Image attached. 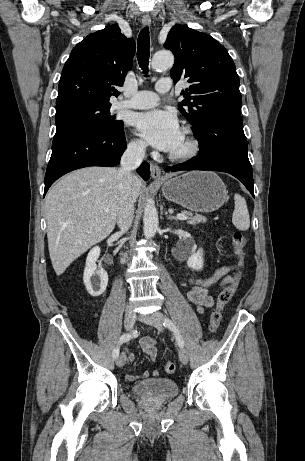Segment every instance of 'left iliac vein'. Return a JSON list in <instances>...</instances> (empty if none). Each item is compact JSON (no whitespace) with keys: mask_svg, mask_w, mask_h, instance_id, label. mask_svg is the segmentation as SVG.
<instances>
[{"mask_svg":"<svg viewBox=\"0 0 305 461\" xmlns=\"http://www.w3.org/2000/svg\"><path fill=\"white\" fill-rule=\"evenodd\" d=\"M140 320L146 324L154 326L159 332L163 331L164 316L160 312H154L148 316H141ZM179 359L183 364L188 363V352L183 347L179 350Z\"/></svg>","mask_w":305,"mask_h":461,"instance_id":"1","label":"left iliac vein"}]
</instances>
